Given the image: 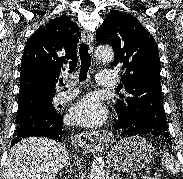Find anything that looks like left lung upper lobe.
Instances as JSON below:
<instances>
[{"instance_id":"5c2ea615","label":"left lung upper lobe","mask_w":183,"mask_h":179,"mask_svg":"<svg viewBox=\"0 0 183 179\" xmlns=\"http://www.w3.org/2000/svg\"><path fill=\"white\" fill-rule=\"evenodd\" d=\"M96 40L111 45L114 65L122 66L121 80L129 95L117 99L114 108L118 116L150 129L167 131L155 39L133 15L112 11L96 31Z\"/></svg>"}]
</instances>
